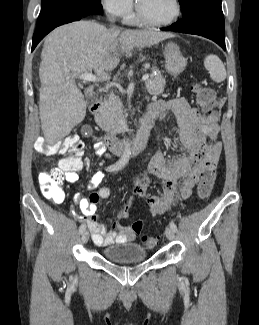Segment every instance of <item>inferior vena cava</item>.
I'll return each instance as SVG.
<instances>
[{"instance_id":"602c4592","label":"inferior vena cava","mask_w":259,"mask_h":325,"mask_svg":"<svg viewBox=\"0 0 259 325\" xmlns=\"http://www.w3.org/2000/svg\"><path fill=\"white\" fill-rule=\"evenodd\" d=\"M111 22H114V19H110Z\"/></svg>"}]
</instances>
